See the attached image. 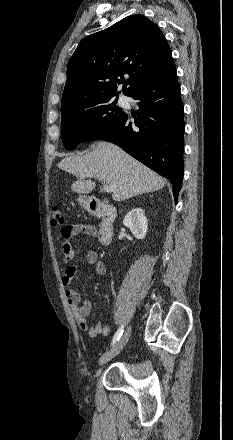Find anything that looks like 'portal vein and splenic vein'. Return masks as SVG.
<instances>
[{"instance_id": "obj_1", "label": "portal vein and splenic vein", "mask_w": 233, "mask_h": 440, "mask_svg": "<svg viewBox=\"0 0 233 440\" xmlns=\"http://www.w3.org/2000/svg\"><path fill=\"white\" fill-rule=\"evenodd\" d=\"M82 177L90 178V175H82ZM103 190L107 193H111L113 191V187L111 185H108L107 183H103Z\"/></svg>"}]
</instances>
